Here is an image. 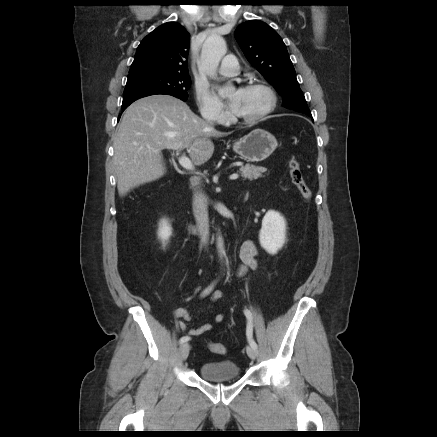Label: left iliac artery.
Returning <instances> with one entry per match:
<instances>
[{
  "label": "left iliac artery",
  "instance_id": "44dca946",
  "mask_svg": "<svg viewBox=\"0 0 437 437\" xmlns=\"http://www.w3.org/2000/svg\"><path fill=\"white\" fill-rule=\"evenodd\" d=\"M244 314H245V316H246V318L248 320L247 329H246V335H247L248 342H249L251 347L257 349V344H256V342L253 339V323H252L253 317H252V313L250 312V310L245 309L244 310Z\"/></svg>",
  "mask_w": 437,
  "mask_h": 437
}]
</instances>
